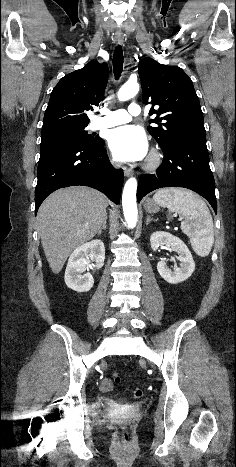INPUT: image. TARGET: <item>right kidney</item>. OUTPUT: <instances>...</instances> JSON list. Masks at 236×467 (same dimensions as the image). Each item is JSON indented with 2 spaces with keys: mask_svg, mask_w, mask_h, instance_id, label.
<instances>
[{
  "mask_svg": "<svg viewBox=\"0 0 236 467\" xmlns=\"http://www.w3.org/2000/svg\"><path fill=\"white\" fill-rule=\"evenodd\" d=\"M105 247L101 240H92L76 248L70 255L65 271L66 285L77 292H87L94 284L92 275L84 273L90 260L94 262L92 266L100 269L104 265Z\"/></svg>",
  "mask_w": 236,
  "mask_h": 467,
  "instance_id": "ca27d5eb",
  "label": "right kidney"
}]
</instances>
